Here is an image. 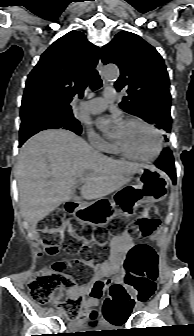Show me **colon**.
Instances as JSON below:
<instances>
[{"label":"colon","mask_w":194,"mask_h":336,"mask_svg":"<svg viewBox=\"0 0 194 336\" xmlns=\"http://www.w3.org/2000/svg\"><path fill=\"white\" fill-rule=\"evenodd\" d=\"M120 221H115L113 226L119 228ZM160 226V221L155 216V209L152 206L145 208L142 216L132 222L128 228L129 234L134 239H141L153 234ZM76 224L66 220L63 211H54L48 214L39 224L38 230L43 237V242L48 254L58 252L62 244L71 251L79 252L81 259L70 262H59L52 266L51 269L40 271L29 282V294L31 299L39 304L48 303L52 296L57 292L69 293L76 289V281L73 276L64 273L68 267L74 268L78 274L87 271L88 264L97 259L105 250L106 241L101 238L90 240L87 237L78 236L69 232L74 231ZM68 236L66 237V232ZM127 275L124 280L126 284L132 285L137 281L139 274H145V281L151 285L157 277L154 268V252L146 246H136L129 255L125 263ZM107 288L110 297L104 303L106 319L110 323H116L129 311L131 305L136 299L143 300L144 293L131 295L123 284L119 282H108L95 286L90 295L95 298L102 296V291ZM122 298V305H117V300ZM58 305L63 309L65 314L76 319L81 312L82 297L75 293L60 300Z\"/></svg>","instance_id":"5ec220e1"}]
</instances>
